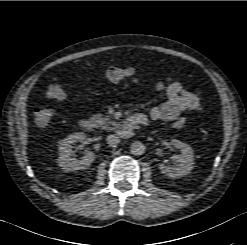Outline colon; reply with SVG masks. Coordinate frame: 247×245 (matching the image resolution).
<instances>
[{"label": "colon", "mask_w": 247, "mask_h": 245, "mask_svg": "<svg viewBox=\"0 0 247 245\" xmlns=\"http://www.w3.org/2000/svg\"><path fill=\"white\" fill-rule=\"evenodd\" d=\"M134 72L131 67L112 66L102 74V78L109 82H118L131 77ZM46 97L50 100L60 101L65 99L66 92L60 85L53 84L48 87ZM33 115L34 121L38 126L48 125L53 118V112L46 108L36 109ZM186 122V118H178L173 125L176 128H182L186 125Z\"/></svg>", "instance_id": "colon-1"}]
</instances>
